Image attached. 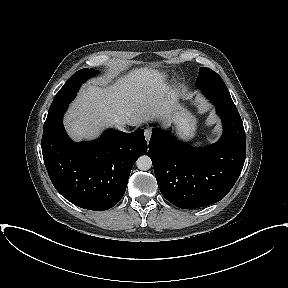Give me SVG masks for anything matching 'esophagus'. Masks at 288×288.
I'll return each instance as SVG.
<instances>
[{
  "mask_svg": "<svg viewBox=\"0 0 288 288\" xmlns=\"http://www.w3.org/2000/svg\"><path fill=\"white\" fill-rule=\"evenodd\" d=\"M144 135H145L146 141L148 142V141L150 140L151 136H152V130L149 129V128H148V129H145Z\"/></svg>",
  "mask_w": 288,
  "mask_h": 288,
  "instance_id": "esophagus-1",
  "label": "esophagus"
}]
</instances>
